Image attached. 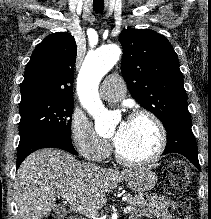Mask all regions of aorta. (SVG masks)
Segmentation results:
<instances>
[{
	"instance_id": "aorta-1",
	"label": "aorta",
	"mask_w": 211,
	"mask_h": 219,
	"mask_svg": "<svg viewBox=\"0 0 211 219\" xmlns=\"http://www.w3.org/2000/svg\"><path fill=\"white\" fill-rule=\"evenodd\" d=\"M121 55L118 45L102 46L90 52L80 69L77 90L79 98L95 120V130L102 137L111 136L117 117L108 112L98 96V86L102 77L117 63Z\"/></svg>"
}]
</instances>
